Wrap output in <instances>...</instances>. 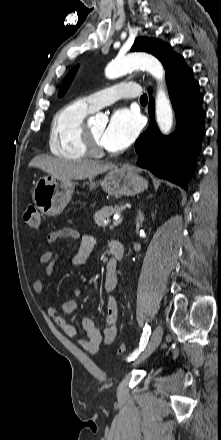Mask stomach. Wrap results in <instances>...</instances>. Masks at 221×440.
I'll list each match as a JSON object with an SVG mask.
<instances>
[{
	"mask_svg": "<svg viewBox=\"0 0 221 440\" xmlns=\"http://www.w3.org/2000/svg\"><path fill=\"white\" fill-rule=\"evenodd\" d=\"M95 189L98 185L114 196H134L147 189L148 181L138 175L131 166H115L100 180L90 177L85 183ZM75 188L71 180H61L51 175L38 179L33 189V200L45 215L60 214L70 202Z\"/></svg>",
	"mask_w": 221,
	"mask_h": 440,
	"instance_id": "1",
	"label": "stomach"
}]
</instances>
